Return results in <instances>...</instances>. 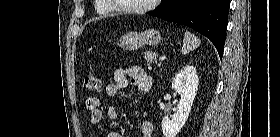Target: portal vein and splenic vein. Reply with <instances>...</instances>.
<instances>
[{
    "mask_svg": "<svg viewBox=\"0 0 280 137\" xmlns=\"http://www.w3.org/2000/svg\"><path fill=\"white\" fill-rule=\"evenodd\" d=\"M160 59H161V60H164V59H165V57H161Z\"/></svg>",
    "mask_w": 280,
    "mask_h": 137,
    "instance_id": "obj_1",
    "label": "portal vein and splenic vein"
}]
</instances>
